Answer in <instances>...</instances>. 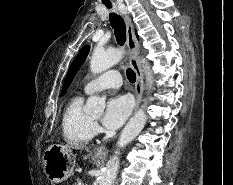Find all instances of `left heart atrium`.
<instances>
[{
  "instance_id": "39dd6f15",
  "label": "left heart atrium",
  "mask_w": 233,
  "mask_h": 185,
  "mask_svg": "<svg viewBox=\"0 0 233 185\" xmlns=\"http://www.w3.org/2000/svg\"><path fill=\"white\" fill-rule=\"evenodd\" d=\"M132 110V103L127 95L111 97L106 105L103 124L108 129L119 128L128 118Z\"/></svg>"
}]
</instances>
